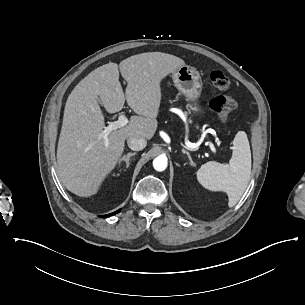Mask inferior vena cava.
Returning <instances> with one entry per match:
<instances>
[{"label": "inferior vena cava", "instance_id": "602c4592", "mask_svg": "<svg viewBox=\"0 0 305 305\" xmlns=\"http://www.w3.org/2000/svg\"><path fill=\"white\" fill-rule=\"evenodd\" d=\"M127 144L132 150L139 151L146 147L147 142L145 139H137L135 137L130 136L127 139Z\"/></svg>", "mask_w": 305, "mask_h": 305}]
</instances>
